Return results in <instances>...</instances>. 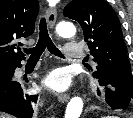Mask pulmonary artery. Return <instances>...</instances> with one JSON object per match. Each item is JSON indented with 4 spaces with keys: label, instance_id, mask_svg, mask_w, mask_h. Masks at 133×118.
Here are the masks:
<instances>
[{
    "label": "pulmonary artery",
    "instance_id": "1",
    "mask_svg": "<svg viewBox=\"0 0 133 118\" xmlns=\"http://www.w3.org/2000/svg\"><path fill=\"white\" fill-rule=\"evenodd\" d=\"M64 54L67 58H75V59H79L84 56L81 46L75 43H67L64 46ZM20 73L21 69H18L17 74Z\"/></svg>",
    "mask_w": 133,
    "mask_h": 118
}]
</instances>
